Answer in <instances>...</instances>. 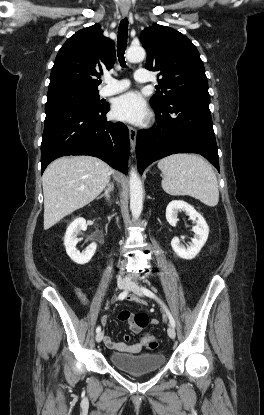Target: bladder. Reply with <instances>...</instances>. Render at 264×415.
Returning a JSON list of instances; mask_svg holds the SVG:
<instances>
[{
  "label": "bladder",
  "mask_w": 264,
  "mask_h": 415,
  "mask_svg": "<svg viewBox=\"0 0 264 415\" xmlns=\"http://www.w3.org/2000/svg\"><path fill=\"white\" fill-rule=\"evenodd\" d=\"M110 361L117 369L138 375L161 369L166 363V356L164 353L153 352L141 354L115 352L110 355Z\"/></svg>",
  "instance_id": "31cf9c89"
}]
</instances>
